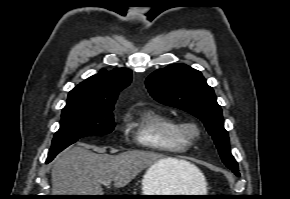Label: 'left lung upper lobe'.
<instances>
[{
  "instance_id": "left-lung-upper-lobe-1",
  "label": "left lung upper lobe",
  "mask_w": 290,
  "mask_h": 199,
  "mask_svg": "<svg viewBox=\"0 0 290 199\" xmlns=\"http://www.w3.org/2000/svg\"><path fill=\"white\" fill-rule=\"evenodd\" d=\"M146 86L156 101L199 118L212 136L224 164L238 171V164L230 152L221 107L200 71L185 64H172L153 72L146 79Z\"/></svg>"
}]
</instances>
